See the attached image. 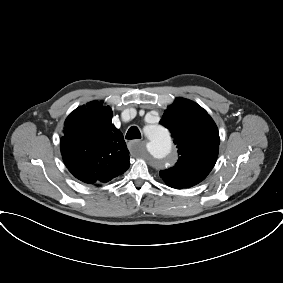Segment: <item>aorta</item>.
Instances as JSON below:
<instances>
[{
    "label": "aorta",
    "mask_w": 283,
    "mask_h": 283,
    "mask_svg": "<svg viewBox=\"0 0 283 283\" xmlns=\"http://www.w3.org/2000/svg\"><path fill=\"white\" fill-rule=\"evenodd\" d=\"M146 134L148 137L146 145L148 153L161 165H166L172 146L169 132L160 125H152L148 128Z\"/></svg>",
    "instance_id": "obj_1"
}]
</instances>
